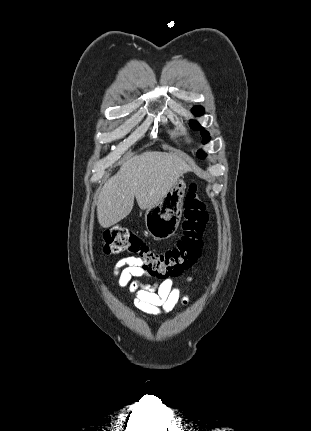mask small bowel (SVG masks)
Instances as JSON below:
<instances>
[{
  "label": "small bowel",
  "mask_w": 311,
  "mask_h": 431,
  "mask_svg": "<svg viewBox=\"0 0 311 431\" xmlns=\"http://www.w3.org/2000/svg\"><path fill=\"white\" fill-rule=\"evenodd\" d=\"M147 275L141 260L137 257H126L119 260L114 267L113 276L122 289L134 295V304L142 312L159 315L173 311L179 303L187 304L188 297L182 295L179 287L171 279L156 285H145L133 278ZM190 280H192L190 278Z\"/></svg>",
  "instance_id": "1"
}]
</instances>
